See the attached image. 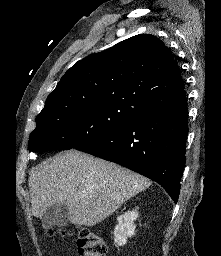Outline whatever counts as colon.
<instances>
[{"mask_svg":"<svg viewBox=\"0 0 221 256\" xmlns=\"http://www.w3.org/2000/svg\"><path fill=\"white\" fill-rule=\"evenodd\" d=\"M65 235L64 231L59 232ZM56 231H49V235L53 236ZM77 247L80 256H106L107 247L104 240L94 231L82 228L77 231Z\"/></svg>","mask_w":221,"mask_h":256,"instance_id":"colon-1","label":"colon"}]
</instances>
